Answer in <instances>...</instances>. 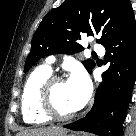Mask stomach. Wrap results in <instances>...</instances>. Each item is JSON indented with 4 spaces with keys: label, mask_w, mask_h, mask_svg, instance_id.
<instances>
[{
    "label": "stomach",
    "mask_w": 136,
    "mask_h": 136,
    "mask_svg": "<svg viewBox=\"0 0 136 136\" xmlns=\"http://www.w3.org/2000/svg\"><path fill=\"white\" fill-rule=\"evenodd\" d=\"M54 136H75V135H73V134L67 135V133L65 132V133L56 134Z\"/></svg>",
    "instance_id": "obj_1"
}]
</instances>
